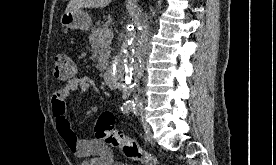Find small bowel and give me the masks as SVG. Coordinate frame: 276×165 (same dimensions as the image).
Here are the masks:
<instances>
[{"instance_id": "small-bowel-1", "label": "small bowel", "mask_w": 276, "mask_h": 165, "mask_svg": "<svg viewBox=\"0 0 276 165\" xmlns=\"http://www.w3.org/2000/svg\"><path fill=\"white\" fill-rule=\"evenodd\" d=\"M97 92L95 82L89 77H73L64 84L54 88L51 94V108L55 117L59 135L78 158L83 159L81 165H113L115 154L102 140L95 138L83 140L78 138L66 115V100L72 92Z\"/></svg>"}]
</instances>
